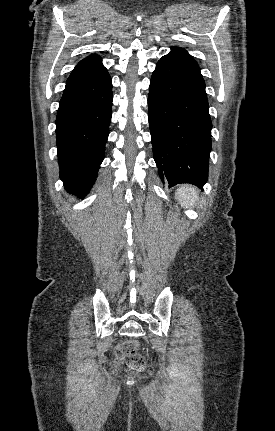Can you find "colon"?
I'll list each match as a JSON object with an SVG mask.
<instances>
[{
    "instance_id": "obj_1",
    "label": "colon",
    "mask_w": 275,
    "mask_h": 431,
    "mask_svg": "<svg viewBox=\"0 0 275 431\" xmlns=\"http://www.w3.org/2000/svg\"><path fill=\"white\" fill-rule=\"evenodd\" d=\"M137 347V341H128L121 345V353L126 366L131 370H140L145 365V358L137 352Z\"/></svg>"
}]
</instances>
